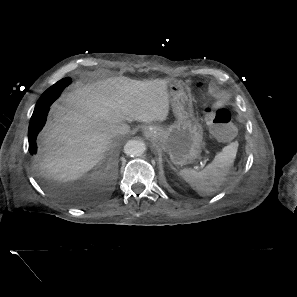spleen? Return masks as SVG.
I'll list each match as a JSON object with an SVG mask.
<instances>
[{
    "mask_svg": "<svg viewBox=\"0 0 297 297\" xmlns=\"http://www.w3.org/2000/svg\"><path fill=\"white\" fill-rule=\"evenodd\" d=\"M238 143L232 142L217 153L203 170L183 169L179 175L201 196L216 192L227 180L234 163Z\"/></svg>",
    "mask_w": 297,
    "mask_h": 297,
    "instance_id": "spleen-1",
    "label": "spleen"
}]
</instances>
